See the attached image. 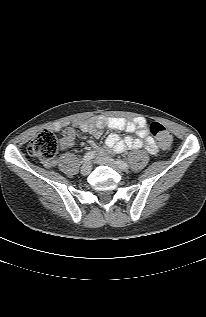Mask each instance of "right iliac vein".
I'll list each match as a JSON object with an SVG mask.
<instances>
[{"label": "right iliac vein", "mask_w": 206, "mask_h": 317, "mask_svg": "<svg viewBox=\"0 0 206 317\" xmlns=\"http://www.w3.org/2000/svg\"><path fill=\"white\" fill-rule=\"evenodd\" d=\"M92 166L89 162H85L81 167V174L88 175L91 172Z\"/></svg>", "instance_id": "1"}]
</instances>
